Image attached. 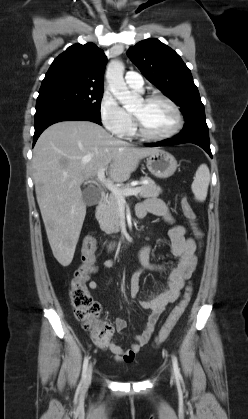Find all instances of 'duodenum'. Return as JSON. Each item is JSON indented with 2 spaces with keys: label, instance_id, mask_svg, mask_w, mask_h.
Here are the masks:
<instances>
[{
  "label": "duodenum",
  "instance_id": "duodenum-1",
  "mask_svg": "<svg viewBox=\"0 0 248 419\" xmlns=\"http://www.w3.org/2000/svg\"><path fill=\"white\" fill-rule=\"evenodd\" d=\"M106 197H107L106 192L105 191H101L100 192V199H99V202H98V210L99 211L105 205V203H106ZM136 214H137L138 217H142V210H141L140 207L137 208ZM129 245H130V241L128 239H124V240H122L120 242L110 243V248L111 249H114V248H117V247L127 248Z\"/></svg>",
  "mask_w": 248,
  "mask_h": 419
}]
</instances>
